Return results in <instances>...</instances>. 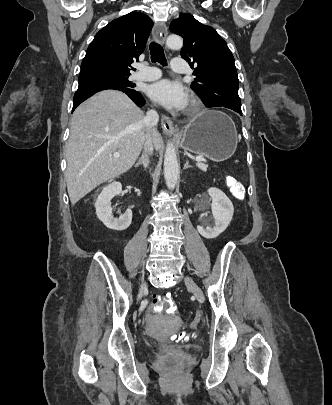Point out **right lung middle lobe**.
<instances>
[{"instance_id": "1", "label": "right lung middle lobe", "mask_w": 332, "mask_h": 405, "mask_svg": "<svg viewBox=\"0 0 332 405\" xmlns=\"http://www.w3.org/2000/svg\"><path fill=\"white\" fill-rule=\"evenodd\" d=\"M129 75L115 74V73H97L79 76L78 89H84L97 85H112L120 87L128 91H135L133 88L135 84L128 80Z\"/></svg>"}]
</instances>
